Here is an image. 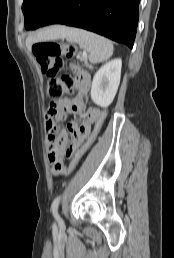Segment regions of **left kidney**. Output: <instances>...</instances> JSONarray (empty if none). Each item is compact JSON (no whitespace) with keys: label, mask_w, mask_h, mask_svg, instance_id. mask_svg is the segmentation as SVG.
Returning <instances> with one entry per match:
<instances>
[{"label":"left kidney","mask_w":174,"mask_h":258,"mask_svg":"<svg viewBox=\"0 0 174 258\" xmlns=\"http://www.w3.org/2000/svg\"><path fill=\"white\" fill-rule=\"evenodd\" d=\"M121 59H114L104 64L94 75L91 86V99L103 108L114 100L121 77Z\"/></svg>","instance_id":"5707ae66"}]
</instances>
